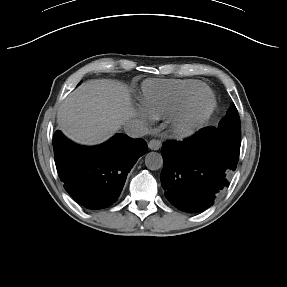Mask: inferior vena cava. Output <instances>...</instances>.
Listing matches in <instances>:
<instances>
[{
    "label": "inferior vena cava",
    "instance_id": "obj_1",
    "mask_svg": "<svg viewBox=\"0 0 287 287\" xmlns=\"http://www.w3.org/2000/svg\"><path fill=\"white\" fill-rule=\"evenodd\" d=\"M124 132L129 137L139 138L148 134V127L146 124L138 119H132L124 124Z\"/></svg>",
    "mask_w": 287,
    "mask_h": 287
}]
</instances>
